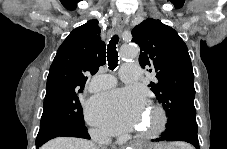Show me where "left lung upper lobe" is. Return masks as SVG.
Returning <instances> with one entry per match:
<instances>
[{
  "label": "left lung upper lobe",
  "instance_id": "left-lung-upper-lobe-1",
  "mask_svg": "<svg viewBox=\"0 0 227 149\" xmlns=\"http://www.w3.org/2000/svg\"><path fill=\"white\" fill-rule=\"evenodd\" d=\"M140 46L139 63L156 75L148 86L165 109L169 122L196 121L194 74L188 49L177 32L148 18L132 30Z\"/></svg>",
  "mask_w": 227,
  "mask_h": 149
}]
</instances>
